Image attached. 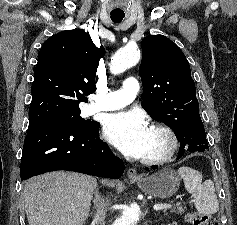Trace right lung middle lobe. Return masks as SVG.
<instances>
[{"label":"right lung middle lobe","instance_id":"1","mask_svg":"<svg viewBox=\"0 0 237 225\" xmlns=\"http://www.w3.org/2000/svg\"><path fill=\"white\" fill-rule=\"evenodd\" d=\"M81 111L69 113V114H61L57 116H53L49 119H46L42 122H52L57 124L66 125L72 127L77 130L81 129H90L97 125V122L94 121H85L80 117Z\"/></svg>","mask_w":237,"mask_h":225}]
</instances>
